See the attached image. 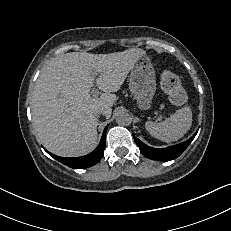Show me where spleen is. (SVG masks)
I'll list each match as a JSON object with an SVG mask.
<instances>
[{"label":"spleen","mask_w":231,"mask_h":231,"mask_svg":"<svg viewBox=\"0 0 231 231\" xmlns=\"http://www.w3.org/2000/svg\"><path fill=\"white\" fill-rule=\"evenodd\" d=\"M192 115V110L186 106L176 110L163 122L147 121L145 128L151 136L163 142L177 141L190 129Z\"/></svg>","instance_id":"3e777b00"}]
</instances>
